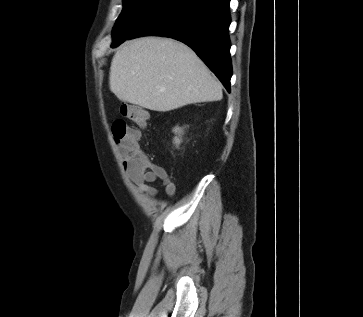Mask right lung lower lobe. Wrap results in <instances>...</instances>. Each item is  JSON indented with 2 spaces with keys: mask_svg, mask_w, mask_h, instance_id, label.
<instances>
[{
  "mask_svg": "<svg viewBox=\"0 0 363 317\" xmlns=\"http://www.w3.org/2000/svg\"><path fill=\"white\" fill-rule=\"evenodd\" d=\"M229 2L230 0H179L141 25L127 39L158 35L185 43L230 92L232 65L228 36L231 22Z\"/></svg>",
  "mask_w": 363,
  "mask_h": 317,
  "instance_id": "98d812e1",
  "label": "right lung lower lobe"
}]
</instances>
